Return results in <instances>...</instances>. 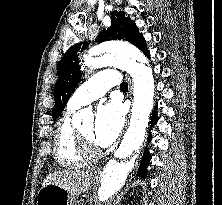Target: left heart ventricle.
I'll use <instances>...</instances> for the list:
<instances>
[{
	"instance_id": "left-heart-ventricle-1",
	"label": "left heart ventricle",
	"mask_w": 222,
	"mask_h": 205,
	"mask_svg": "<svg viewBox=\"0 0 222 205\" xmlns=\"http://www.w3.org/2000/svg\"><path fill=\"white\" fill-rule=\"evenodd\" d=\"M79 130L83 134L84 137L89 139L91 142L95 143L93 139V130H94L93 122L86 123Z\"/></svg>"
}]
</instances>
